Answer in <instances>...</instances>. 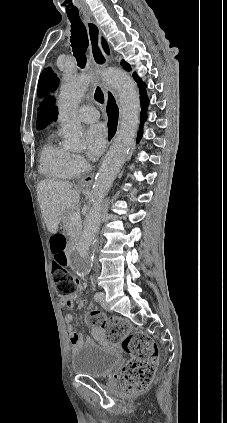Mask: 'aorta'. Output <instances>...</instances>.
<instances>
[{"instance_id":"aorta-1","label":"aorta","mask_w":227,"mask_h":423,"mask_svg":"<svg viewBox=\"0 0 227 423\" xmlns=\"http://www.w3.org/2000/svg\"><path fill=\"white\" fill-rule=\"evenodd\" d=\"M107 82L117 90L120 102L121 125L119 134L107 152L99 168L93 185V206L90 210L82 236L70 255V266L79 276L88 274L93 264L92 246L98 233L102 202L117 177L137 133L140 119V100L133 79L124 71L110 68L106 71ZM90 75H68L60 89L58 98L59 121L64 139V147L81 149L84 136L81 123L77 119V108L84 96Z\"/></svg>"}]
</instances>
